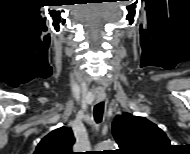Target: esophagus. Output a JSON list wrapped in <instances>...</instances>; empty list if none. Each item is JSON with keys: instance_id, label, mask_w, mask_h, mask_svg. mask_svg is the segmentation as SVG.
<instances>
[{"instance_id": "esophagus-1", "label": "esophagus", "mask_w": 190, "mask_h": 154, "mask_svg": "<svg viewBox=\"0 0 190 154\" xmlns=\"http://www.w3.org/2000/svg\"><path fill=\"white\" fill-rule=\"evenodd\" d=\"M105 96L106 94L103 90L95 91V99L97 102L103 101Z\"/></svg>"}]
</instances>
